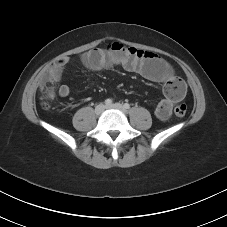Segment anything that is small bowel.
<instances>
[{
  "mask_svg": "<svg viewBox=\"0 0 227 227\" xmlns=\"http://www.w3.org/2000/svg\"><path fill=\"white\" fill-rule=\"evenodd\" d=\"M81 62L91 71H101L119 66L128 72L138 73L150 81L162 83L164 98L155 109V115L159 120H167L174 104L184 98V82L176 77L173 68L167 61L153 52L125 47L114 42L107 48H95L84 53L81 56ZM67 63V58L59 61L50 68L45 76L53 82H59ZM58 95L63 98L68 97L70 88L67 85H61L58 89Z\"/></svg>",
  "mask_w": 227,
  "mask_h": 227,
  "instance_id": "small-bowel-1",
  "label": "small bowel"
}]
</instances>
